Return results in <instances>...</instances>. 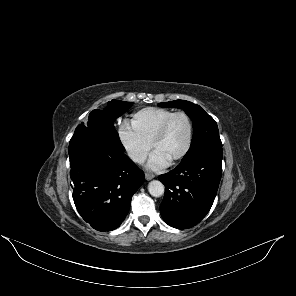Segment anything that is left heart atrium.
Instances as JSON below:
<instances>
[{"instance_id":"1","label":"left heart atrium","mask_w":296,"mask_h":296,"mask_svg":"<svg viewBox=\"0 0 296 296\" xmlns=\"http://www.w3.org/2000/svg\"><path fill=\"white\" fill-rule=\"evenodd\" d=\"M169 163L157 152H153L147 163V168L151 170H160L165 168Z\"/></svg>"}]
</instances>
